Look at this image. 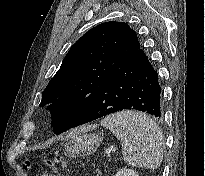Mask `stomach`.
Masks as SVG:
<instances>
[{"label":"stomach","mask_w":205,"mask_h":176,"mask_svg":"<svg viewBox=\"0 0 205 176\" xmlns=\"http://www.w3.org/2000/svg\"><path fill=\"white\" fill-rule=\"evenodd\" d=\"M102 140V134L89 133V130L80 131L66 143L64 154L67 157L90 155L96 151Z\"/></svg>","instance_id":"1"}]
</instances>
